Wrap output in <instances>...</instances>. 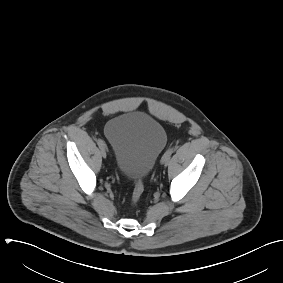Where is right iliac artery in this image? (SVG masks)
<instances>
[{
    "label": "right iliac artery",
    "mask_w": 283,
    "mask_h": 283,
    "mask_svg": "<svg viewBox=\"0 0 283 283\" xmlns=\"http://www.w3.org/2000/svg\"><path fill=\"white\" fill-rule=\"evenodd\" d=\"M97 144H98V146H99L101 149H105V148H106L104 141L101 140V139H98V140H97Z\"/></svg>",
    "instance_id": "1"
}]
</instances>
